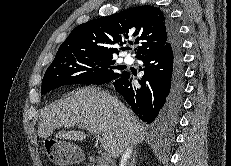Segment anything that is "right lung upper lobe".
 <instances>
[{"label": "right lung upper lobe", "instance_id": "obj_1", "mask_svg": "<svg viewBox=\"0 0 231 166\" xmlns=\"http://www.w3.org/2000/svg\"><path fill=\"white\" fill-rule=\"evenodd\" d=\"M129 38L139 44L137 58L157 52L170 39L168 18L157 7L138 6L93 19L72 30L55 59L85 54L114 57L118 54L116 46Z\"/></svg>", "mask_w": 231, "mask_h": 166}]
</instances>
